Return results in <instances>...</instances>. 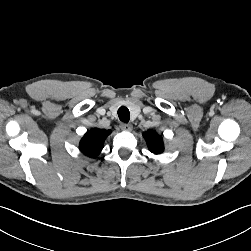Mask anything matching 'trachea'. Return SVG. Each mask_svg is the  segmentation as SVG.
I'll return each mask as SVG.
<instances>
[{
	"label": "trachea",
	"mask_w": 251,
	"mask_h": 251,
	"mask_svg": "<svg viewBox=\"0 0 251 251\" xmlns=\"http://www.w3.org/2000/svg\"><path fill=\"white\" fill-rule=\"evenodd\" d=\"M118 116L122 122L128 123L129 119H130V112H129L128 108L124 107V106L120 107L118 109Z\"/></svg>",
	"instance_id": "trachea-1"
}]
</instances>
